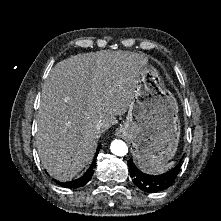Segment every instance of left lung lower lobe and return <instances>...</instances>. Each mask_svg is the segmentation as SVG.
Masks as SVG:
<instances>
[{
    "instance_id": "obj_1",
    "label": "left lung lower lobe",
    "mask_w": 221,
    "mask_h": 221,
    "mask_svg": "<svg viewBox=\"0 0 221 221\" xmlns=\"http://www.w3.org/2000/svg\"><path fill=\"white\" fill-rule=\"evenodd\" d=\"M182 160V159H181ZM180 162L170 171L161 175H148L141 172L133 163L132 159L128 160L130 176L138 188L147 193H156L170 187L177 177Z\"/></svg>"
}]
</instances>
